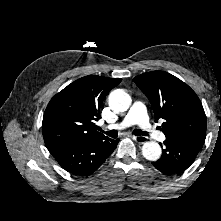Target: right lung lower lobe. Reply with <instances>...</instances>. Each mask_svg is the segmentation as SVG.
Wrapping results in <instances>:
<instances>
[{
    "label": "right lung lower lobe",
    "instance_id": "obj_1",
    "mask_svg": "<svg viewBox=\"0 0 221 221\" xmlns=\"http://www.w3.org/2000/svg\"><path fill=\"white\" fill-rule=\"evenodd\" d=\"M119 139L103 137L92 141L48 148L55 160L68 172L88 176L96 171L116 148Z\"/></svg>",
    "mask_w": 221,
    "mask_h": 221
}]
</instances>
